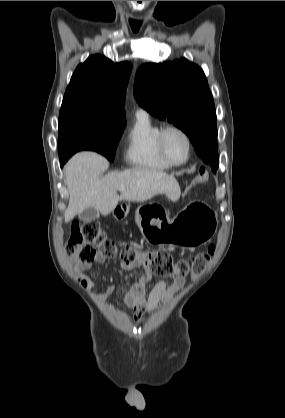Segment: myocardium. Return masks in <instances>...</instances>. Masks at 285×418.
Instances as JSON below:
<instances>
[{
    "mask_svg": "<svg viewBox=\"0 0 285 418\" xmlns=\"http://www.w3.org/2000/svg\"><path fill=\"white\" fill-rule=\"evenodd\" d=\"M170 131H175V132L179 133L184 138V140L186 142V146H187L186 157L182 161H180V162H174V161H172L169 158V156H168V154L166 152L165 146H164V138H165L166 134L168 132H170ZM156 145H157V148H158L161 156L163 157V159L170 166H180V165H183V164H185V163L188 162V160H189V158L191 156L192 142H191L190 136H189V134L183 128H181V127H179L177 125L169 124V125H166V126L160 128V130L158 131L157 136H156Z\"/></svg>",
    "mask_w": 285,
    "mask_h": 418,
    "instance_id": "myocardium-1",
    "label": "myocardium"
}]
</instances>
